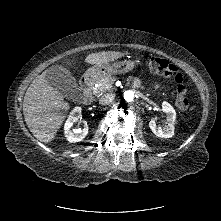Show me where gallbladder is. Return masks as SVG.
<instances>
[{"label": "gallbladder", "mask_w": 221, "mask_h": 221, "mask_svg": "<svg viewBox=\"0 0 221 221\" xmlns=\"http://www.w3.org/2000/svg\"><path fill=\"white\" fill-rule=\"evenodd\" d=\"M46 80L50 86L66 99H73L79 92L76 80L70 71L61 65H54L48 68Z\"/></svg>", "instance_id": "1"}]
</instances>
